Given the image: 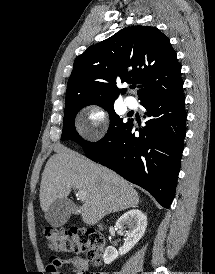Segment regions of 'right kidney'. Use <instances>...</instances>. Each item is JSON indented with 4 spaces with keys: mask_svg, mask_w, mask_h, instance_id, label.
<instances>
[{
    "mask_svg": "<svg viewBox=\"0 0 215 274\" xmlns=\"http://www.w3.org/2000/svg\"><path fill=\"white\" fill-rule=\"evenodd\" d=\"M124 226L128 227L126 231V239L119 251L112 246H108L104 252V263L110 264L119 255H124L130 251L135 244L143 237L146 227H147V217L146 215L138 210L133 209L124 213L116 222V227L118 229H123Z\"/></svg>",
    "mask_w": 215,
    "mask_h": 274,
    "instance_id": "ca27d5eb",
    "label": "right kidney"
}]
</instances>
